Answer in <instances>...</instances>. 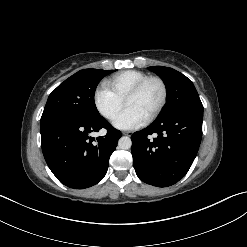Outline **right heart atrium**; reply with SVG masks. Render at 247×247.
I'll list each match as a JSON object with an SVG mask.
<instances>
[{
	"instance_id": "obj_1",
	"label": "right heart atrium",
	"mask_w": 247,
	"mask_h": 247,
	"mask_svg": "<svg viewBox=\"0 0 247 247\" xmlns=\"http://www.w3.org/2000/svg\"><path fill=\"white\" fill-rule=\"evenodd\" d=\"M93 101L97 111L108 120H113L123 106V100L106 85L95 90Z\"/></svg>"
}]
</instances>
